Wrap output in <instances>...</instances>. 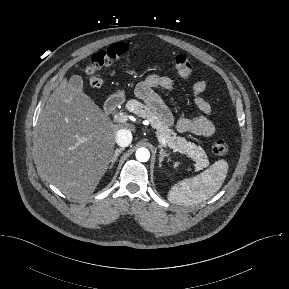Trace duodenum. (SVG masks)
I'll list each match as a JSON object with an SVG mask.
<instances>
[{
  "label": "duodenum",
  "mask_w": 289,
  "mask_h": 289,
  "mask_svg": "<svg viewBox=\"0 0 289 289\" xmlns=\"http://www.w3.org/2000/svg\"><path fill=\"white\" fill-rule=\"evenodd\" d=\"M122 104V98L119 95L109 97L105 102V111L107 114H112Z\"/></svg>",
  "instance_id": "duodenum-1"
}]
</instances>
